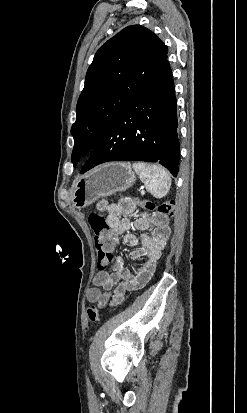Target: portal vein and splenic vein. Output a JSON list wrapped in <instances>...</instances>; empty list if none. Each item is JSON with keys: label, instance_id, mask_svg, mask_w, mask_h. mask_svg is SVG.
Listing matches in <instances>:
<instances>
[{"label": "portal vein and splenic vein", "instance_id": "obj_1", "mask_svg": "<svg viewBox=\"0 0 247 413\" xmlns=\"http://www.w3.org/2000/svg\"><path fill=\"white\" fill-rule=\"evenodd\" d=\"M143 191H144V190L142 189V190H141V193H142V194L144 193Z\"/></svg>", "mask_w": 247, "mask_h": 413}]
</instances>
